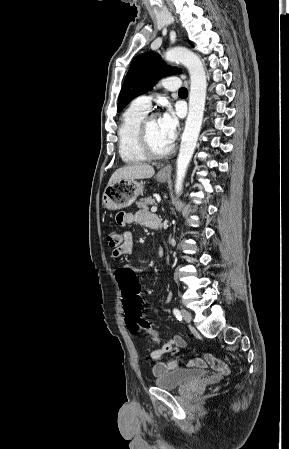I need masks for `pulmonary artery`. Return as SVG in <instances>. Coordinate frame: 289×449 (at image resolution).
<instances>
[{"label":"pulmonary artery","mask_w":289,"mask_h":449,"mask_svg":"<svg viewBox=\"0 0 289 449\" xmlns=\"http://www.w3.org/2000/svg\"><path fill=\"white\" fill-rule=\"evenodd\" d=\"M160 85L167 90H176L180 86V79L177 77H167L161 80ZM152 96L141 95L135 98L132 105L148 112L151 108Z\"/></svg>","instance_id":"e3ab8cb5"}]
</instances>
